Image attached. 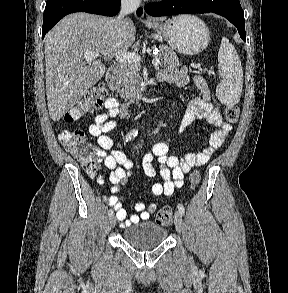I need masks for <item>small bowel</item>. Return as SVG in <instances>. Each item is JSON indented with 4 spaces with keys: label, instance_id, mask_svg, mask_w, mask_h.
I'll list each match as a JSON object with an SVG mask.
<instances>
[{
    "label": "small bowel",
    "instance_id": "obj_1",
    "mask_svg": "<svg viewBox=\"0 0 288 293\" xmlns=\"http://www.w3.org/2000/svg\"><path fill=\"white\" fill-rule=\"evenodd\" d=\"M158 78L181 88L193 84L200 91L201 96L193 98L188 103L180 125L181 132L193 122L201 119L206 120L217 129L211 135L207 147L199 153H187L180 158L169 153V143L157 142L152 145L150 152L144 155L142 165L145 174L149 177H155L159 174L163 179L162 182H156L152 185V194L170 196L175 189L183 186L184 176L192 167L203 166L209 161L211 156L224 144L232 127L223 120L219 110L214 106L212 93L203 77L195 75L190 78L187 69L183 67L175 72L162 70L158 73ZM104 108L105 112L95 116L88 131L97 141V147L94 148L95 155L97 160L109 170V180L112 183L111 195L105 196L104 201L114 209L122 226H130L140 220H148L151 214L156 211L157 205L155 203L145 205L143 202H137L134 206L137 214H132L127 218V211L115 193L126 183L131 174L133 163L123 152L112 148L113 141L107 135L117 126L114 118L126 115V110L120 108L116 99H108ZM155 159L159 164V169L153 165ZM98 182L103 183L102 177L98 178Z\"/></svg>",
    "mask_w": 288,
    "mask_h": 293
}]
</instances>
